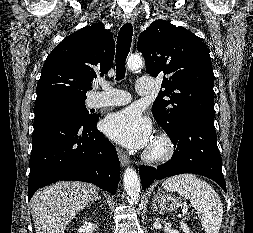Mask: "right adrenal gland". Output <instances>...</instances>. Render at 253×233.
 Masks as SVG:
<instances>
[{
  "instance_id": "1",
  "label": "right adrenal gland",
  "mask_w": 253,
  "mask_h": 233,
  "mask_svg": "<svg viewBox=\"0 0 253 233\" xmlns=\"http://www.w3.org/2000/svg\"><path fill=\"white\" fill-rule=\"evenodd\" d=\"M97 199H98V200H100V199H101V197L97 195V197L95 198V200H94V201H96ZM94 201H93V202H94Z\"/></svg>"
}]
</instances>
